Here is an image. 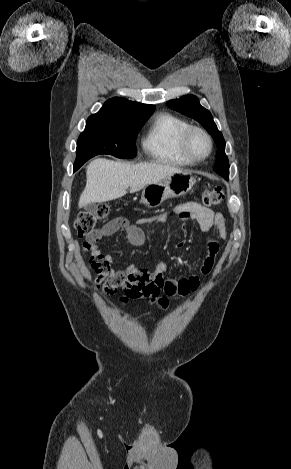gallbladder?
Here are the masks:
<instances>
[{
  "label": "gallbladder",
  "instance_id": "bac80fb5",
  "mask_svg": "<svg viewBox=\"0 0 291 469\" xmlns=\"http://www.w3.org/2000/svg\"><path fill=\"white\" fill-rule=\"evenodd\" d=\"M85 209L90 213H95L98 209V205L96 203H90L85 206Z\"/></svg>",
  "mask_w": 291,
  "mask_h": 469
}]
</instances>
